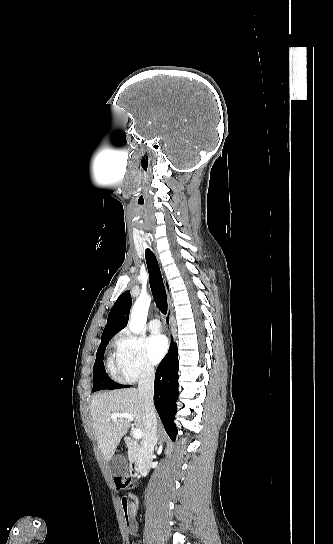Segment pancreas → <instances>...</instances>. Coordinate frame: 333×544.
Wrapping results in <instances>:
<instances>
[{
    "label": "pancreas",
    "instance_id": "cf45deb5",
    "mask_svg": "<svg viewBox=\"0 0 333 544\" xmlns=\"http://www.w3.org/2000/svg\"><path fill=\"white\" fill-rule=\"evenodd\" d=\"M128 456L130 460H134L137 457L136 449H129L128 450Z\"/></svg>",
    "mask_w": 333,
    "mask_h": 544
}]
</instances>
